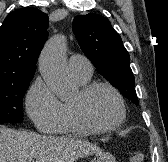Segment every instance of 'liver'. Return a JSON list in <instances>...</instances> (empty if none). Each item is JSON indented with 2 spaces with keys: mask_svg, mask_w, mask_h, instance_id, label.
I'll use <instances>...</instances> for the list:
<instances>
[{
  "mask_svg": "<svg viewBox=\"0 0 168 162\" xmlns=\"http://www.w3.org/2000/svg\"><path fill=\"white\" fill-rule=\"evenodd\" d=\"M101 149L85 140L54 137L0 127V162H74L100 153Z\"/></svg>",
  "mask_w": 168,
  "mask_h": 162,
  "instance_id": "obj_1",
  "label": "liver"
}]
</instances>
